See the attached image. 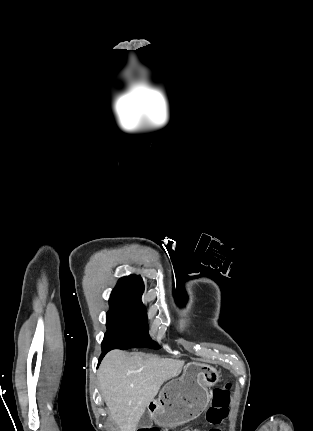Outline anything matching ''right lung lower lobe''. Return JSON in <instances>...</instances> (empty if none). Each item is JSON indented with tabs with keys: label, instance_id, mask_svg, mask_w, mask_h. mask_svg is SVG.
<instances>
[{
	"label": "right lung lower lobe",
	"instance_id": "1",
	"mask_svg": "<svg viewBox=\"0 0 313 431\" xmlns=\"http://www.w3.org/2000/svg\"><path fill=\"white\" fill-rule=\"evenodd\" d=\"M107 352H109V350H102V354H101V356H100V358H99V363L101 362L102 358L105 356V354H106Z\"/></svg>",
	"mask_w": 313,
	"mask_h": 431
}]
</instances>
